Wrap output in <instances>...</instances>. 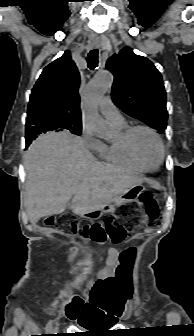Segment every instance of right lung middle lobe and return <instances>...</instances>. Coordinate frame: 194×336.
<instances>
[{
    "label": "right lung middle lobe",
    "mask_w": 194,
    "mask_h": 336,
    "mask_svg": "<svg viewBox=\"0 0 194 336\" xmlns=\"http://www.w3.org/2000/svg\"><path fill=\"white\" fill-rule=\"evenodd\" d=\"M65 130H69L71 133L76 134V135H80L81 134V126H64ZM42 127H37V126H31V127H27L26 126V136L28 134H31L33 132H36L38 130H42Z\"/></svg>",
    "instance_id": "dd1d6c3e"
}]
</instances>
